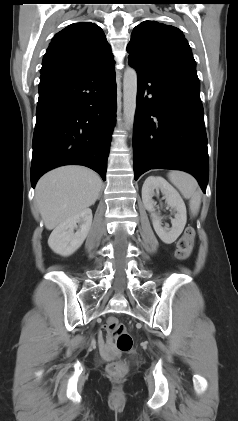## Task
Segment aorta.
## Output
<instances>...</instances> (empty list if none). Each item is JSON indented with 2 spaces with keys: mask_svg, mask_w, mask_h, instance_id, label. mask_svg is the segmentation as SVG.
I'll list each match as a JSON object with an SVG mask.
<instances>
[{
  "mask_svg": "<svg viewBox=\"0 0 238 421\" xmlns=\"http://www.w3.org/2000/svg\"><path fill=\"white\" fill-rule=\"evenodd\" d=\"M137 99V72L128 67L123 78V109L125 127L131 129L134 123Z\"/></svg>",
  "mask_w": 238,
  "mask_h": 421,
  "instance_id": "762f6f07",
  "label": "aorta"
}]
</instances>
